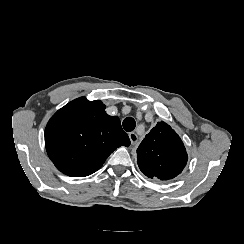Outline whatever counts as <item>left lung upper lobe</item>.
I'll return each instance as SVG.
<instances>
[{
    "label": "left lung upper lobe",
    "mask_w": 244,
    "mask_h": 244,
    "mask_svg": "<svg viewBox=\"0 0 244 244\" xmlns=\"http://www.w3.org/2000/svg\"><path fill=\"white\" fill-rule=\"evenodd\" d=\"M187 153L179 135L165 122H159L137 149V163L147 177L169 180L182 172Z\"/></svg>",
    "instance_id": "5c2ea615"
}]
</instances>
